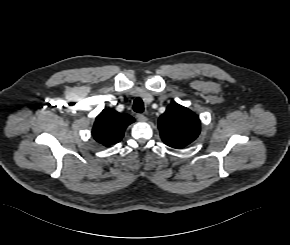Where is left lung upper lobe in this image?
Listing matches in <instances>:
<instances>
[{
    "label": "left lung upper lobe",
    "mask_w": 290,
    "mask_h": 245,
    "mask_svg": "<svg viewBox=\"0 0 290 245\" xmlns=\"http://www.w3.org/2000/svg\"><path fill=\"white\" fill-rule=\"evenodd\" d=\"M163 142L173 148H183L193 142L200 133L198 116L177 103L167 107L158 121Z\"/></svg>",
    "instance_id": "1"
}]
</instances>
